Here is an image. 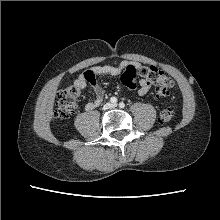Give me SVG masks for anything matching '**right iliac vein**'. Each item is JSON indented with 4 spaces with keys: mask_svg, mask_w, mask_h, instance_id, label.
Wrapping results in <instances>:
<instances>
[{
    "mask_svg": "<svg viewBox=\"0 0 220 220\" xmlns=\"http://www.w3.org/2000/svg\"><path fill=\"white\" fill-rule=\"evenodd\" d=\"M105 107H106V108H108V107H110V105H109V104H107Z\"/></svg>",
    "mask_w": 220,
    "mask_h": 220,
    "instance_id": "right-iliac-vein-1",
    "label": "right iliac vein"
}]
</instances>
